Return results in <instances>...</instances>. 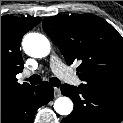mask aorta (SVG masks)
Here are the masks:
<instances>
[{
	"label": "aorta",
	"instance_id": "1",
	"mask_svg": "<svg viewBox=\"0 0 123 123\" xmlns=\"http://www.w3.org/2000/svg\"><path fill=\"white\" fill-rule=\"evenodd\" d=\"M22 45L25 53L34 58H44L51 50L49 40L39 33L27 34ZM54 109L60 115H69L73 110V102L68 97H59L54 102Z\"/></svg>",
	"mask_w": 123,
	"mask_h": 123
}]
</instances>
